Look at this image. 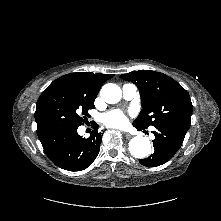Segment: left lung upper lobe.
I'll list each match as a JSON object with an SVG mask.
<instances>
[{"mask_svg":"<svg viewBox=\"0 0 221 221\" xmlns=\"http://www.w3.org/2000/svg\"><path fill=\"white\" fill-rule=\"evenodd\" d=\"M139 89L143 109L133 122L148 126H175L189 130L193 106L188 92L174 79L155 71L139 70L120 76Z\"/></svg>","mask_w":221,"mask_h":221,"instance_id":"left-lung-upper-lobe-1","label":"left lung upper lobe"}]
</instances>
